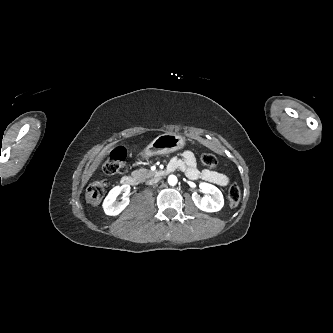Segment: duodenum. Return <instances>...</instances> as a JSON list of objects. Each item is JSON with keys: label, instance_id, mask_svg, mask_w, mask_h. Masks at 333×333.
Masks as SVG:
<instances>
[{"label": "duodenum", "instance_id": "410a0bca", "mask_svg": "<svg viewBox=\"0 0 333 333\" xmlns=\"http://www.w3.org/2000/svg\"><path fill=\"white\" fill-rule=\"evenodd\" d=\"M176 170V168L170 164H168V166L164 169H161L157 172L158 176H166L168 175L170 172ZM121 183L123 185H128V186H135L138 184V180L134 175H125L122 177L121 179Z\"/></svg>", "mask_w": 333, "mask_h": 333}]
</instances>
